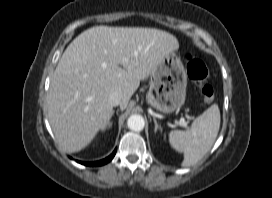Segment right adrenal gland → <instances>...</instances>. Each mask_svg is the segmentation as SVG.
<instances>
[{"mask_svg":"<svg viewBox=\"0 0 272 198\" xmlns=\"http://www.w3.org/2000/svg\"><path fill=\"white\" fill-rule=\"evenodd\" d=\"M114 114V111L112 112V115ZM112 126V122H108L106 128H110Z\"/></svg>","mask_w":272,"mask_h":198,"instance_id":"obj_1","label":"right adrenal gland"}]
</instances>
